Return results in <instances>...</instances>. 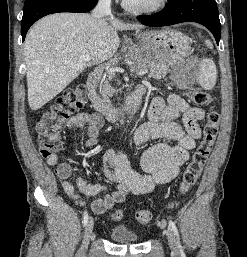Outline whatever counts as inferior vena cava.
Listing matches in <instances>:
<instances>
[{
  "label": "inferior vena cava",
  "instance_id": "1",
  "mask_svg": "<svg viewBox=\"0 0 247 257\" xmlns=\"http://www.w3.org/2000/svg\"><path fill=\"white\" fill-rule=\"evenodd\" d=\"M111 13V0H99L96 7L92 11V17L102 19Z\"/></svg>",
  "mask_w": 247,
  "mask_h": 257
}]
</instances>
